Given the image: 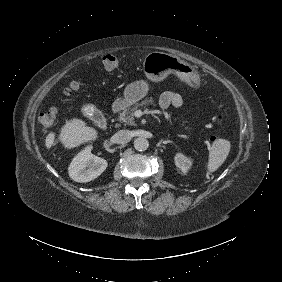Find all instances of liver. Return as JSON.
I'll return each mask as SVG.
<instances>
[{
  "instance_id": "1",
  "label": "liver",
  "mask_w": 282,
  "mask_h": 282,
  "mask_svg": "<svg viewBox=\"0 0 282 282\" xmlns=\"http://www.w3.org/2000/svg\"><path fill=\"white\" fill-rule=\"evenodd\" d=\"M100 138L101 134L96 128L89 126L81 118L71 117L65 119L58 128L48 133L45 147L50 150L60 144L62 149L68 151L98 141Z\"/></svg>"
}]
</instances>
